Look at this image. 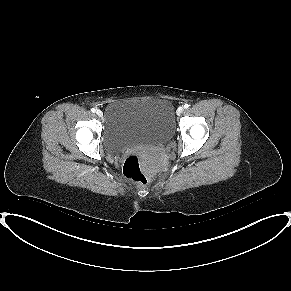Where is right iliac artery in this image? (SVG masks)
I'll list each match as a JSON object with an SVG mask.
<instances>
[{
	"label": "right iliac artery",
	"instance_id": "obj_1",
	"mask_svg": "<svg viewBox=\"0 0 291 291\" xmlns=\"http://www.w3.org/2000/svg\"><path fill=\"white\" fill-rule=\"evenodd\" d=\"M95 111H96V109H95V108H92V109H91V112H93V113H94Z\"/></svg>",
	"mask_w": 291,
	"mask_h": 291
}]
</instances>
